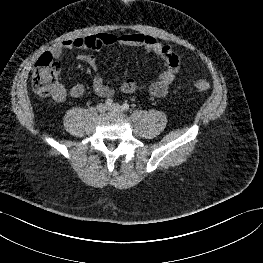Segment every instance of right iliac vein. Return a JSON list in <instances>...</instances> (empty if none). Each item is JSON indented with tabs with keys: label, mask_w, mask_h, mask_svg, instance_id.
I'll use <instances>...</instances> for the list:
<instances>
[{
	"label": "right iliac vein",
	"mask_w": 263,
	"mask_h": 263,
	"mask_svg": "<svg viewBox=\"0 0 263 263\" xmlns=\"http://www.w3.org/2000/svg\"><path fill=\"white\" fill-rule=\"evenodd\" d=\"M97 110L100 113H104L107 110V106L104 103H101L97 106Z\"/></svg>",
	"instance_id": "63e3f726"
}]
</instances>
